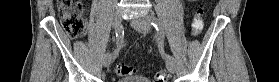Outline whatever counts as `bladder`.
<instances>
[{
	"mask_svg": "<svg viewBox=\"0 0 279 82\" xmlns=\"http://www.w3.org/2000/svg\"><path fill=\"white\" fill-rule=\"evenodd\" d=\"M116 82H152V81L144 76L133 75V76H126L124 78H121Z\"/></svg>",
	"mask_w": 279,
	"mask_h": 82,
	"instance_id": "31cf9c89",
	"label": "bladder"
}]
</instances>
